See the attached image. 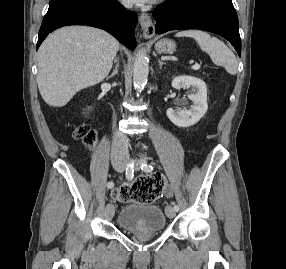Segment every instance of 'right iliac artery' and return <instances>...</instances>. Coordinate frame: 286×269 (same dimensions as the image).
Segmentation results:
<instances>
[{"mask_svg": "<svg viewBox=\"0 0 286 269\" xmlns=\"http://www.w3.org/2000/svg\"><path fill=\"white\" fill-rule=\"evenodd\" d=\"M126 178L128 180H132L133 177H134V163L133 162H130L128 163L127 167H126ZM114 186L113 182H108L107 183V187L108 188H112Z\"/></svg>", "mask_w": 286, "mask_h": 269, "instance_id": "82829eb1", "label": "right iliac artery"}]
</instances>
